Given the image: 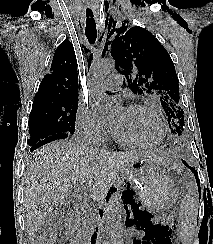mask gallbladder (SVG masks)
I'll return each instance as SVG.
<instances>
[{
	"label": "gallbladder",
	"instance_id": "1",
	"mask_svg": "<svg viewBox=\"0 0 213 244\" xmlns=\"http://www.w3.org/2000/svg\"><path fill=\"white\" fill-rule=\"evenodd\" d=\"M69 211L60 207H55L48 215L46 223L43 225L45 231L62 232L68 221Z\"/></svg>",
	"mask_w": 213,
	"mask_h": 244
}]
</instances>
